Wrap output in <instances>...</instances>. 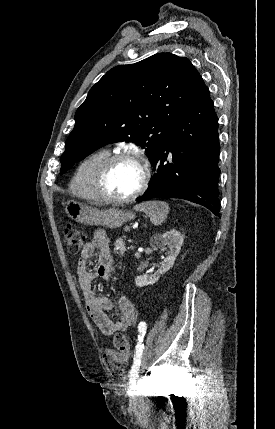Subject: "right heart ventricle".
<instances>
[{
	"mask_svg": "<svg viewBox=\"0 0 275 429\" xmlns=\"http://www.w3.org/2000/svg\"><path fill=\"white\" fill-rule=\"evenodd\" d=\"M109 155L110 151L102 148L82 160L70 181V190L74 195L87 201L98 199L93 189V178L100 164Z\"/></svg>",
	"mask_w": 275,
	"mask_h": 429,
	"instance_id": "e07e8e85",
	"label": "right heart ventricle"
}]
</instances>
